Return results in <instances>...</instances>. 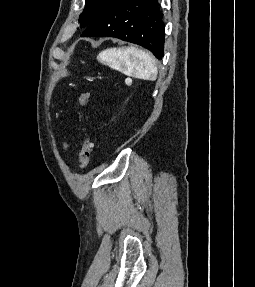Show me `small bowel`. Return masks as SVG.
<instances>
[{
    "label": "small bowel",
    "instance_id": "1",
    "mask_svg": "<svg viewBox=\"0 0 255 287\" xmlns=\"http://www.w3.org/2000/svg\"><path fill=\"white\" fill-rule=\"evenodd\" d=\"M63 148H64L65 150H67V149H68V144L65 143V144L63 145Z\"/></svg>",
    "mask_w": 255,
    "mask_h": 287
}]
</instances>
